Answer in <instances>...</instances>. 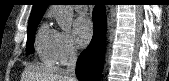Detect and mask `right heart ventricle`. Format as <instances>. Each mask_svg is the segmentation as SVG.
<instances>
[{
	"instance_id": "obj_1",
	"label": "right heart ventricle",
	"mask_w": 169,
	"mask_h": 81,
	"mask_svg": "<svg viewBox=\"0 0 169 81\" xmlns=\"http://www.w3.org/2000/svg\"><path fill=\"white\" fill-rule=\"evenodd\" d=\"M55 31L50 30L46 25H42L35 38V50L41 61L53 64L56 61L53 47Z\"/></svg>"
}]
</instances>
